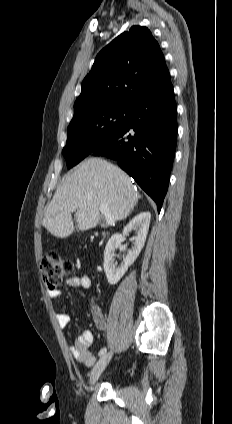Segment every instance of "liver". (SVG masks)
Wrapping results in <instances>:
<instances>
[{"label":"liver","mask_w":232,"mask_h":424,"mask_svg":"<svg viewBox=\"0 0 232 424\" xmlns=\"http://www.w3.org/2000/svg\"><path fill=\"white\" fill-rule=\"evenodd\" d=\"M139 199L131 178L101 158L82 161L64 178L47 206L42 225L53 236L66 238L74 230L72 212L80 231L97 226L99 206L105 204L115 221L125 219Z\"/></svg>","instance_id":"liver-1"}]
</instances>
